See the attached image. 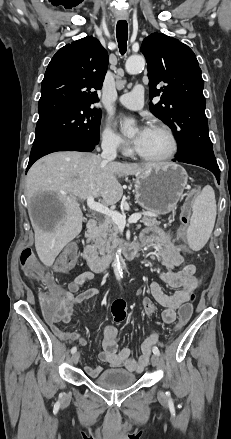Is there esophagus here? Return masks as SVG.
Segmentation results:
<instances>
[{"label":"esophagus","instance_id":"34e87169","mask_svg":"<svg viewBox=\"0 0 231 439\" xmlns=\"http://www.w3.org/2000/svg\"><path fill=\"white\" fill-rule=\"evenodd\" d=\"M118 18L121 20H126V19H128V14L122 13V14L118 15Z\"/></svg>","mask_w":231,"mask_h":439}]
</instances>
